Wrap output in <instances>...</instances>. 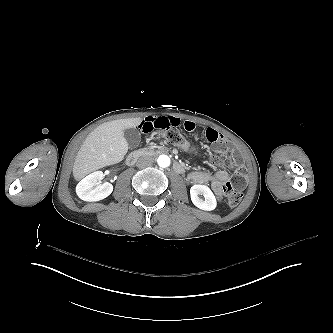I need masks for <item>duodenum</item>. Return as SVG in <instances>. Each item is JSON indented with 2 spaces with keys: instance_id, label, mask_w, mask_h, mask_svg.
I'll list each match as a JSON object with an SVG mask.
<instances>
[{
  "instance_id": "1",
  "label": "duodenum",
  "mask_w": 333,
  "mask_h": 333,
  "mask_svg": "<svg viewBox=\"0 0 333 333\" xmlns=\"http://www.w3.org/2000/svg\"><path fill=\"white\" fill-rule=\"evenodd\" d=\"M144 154H145L144 150H136V151L131 152L126 158L127 165H129V166L135 165L136 162L139 160V158L142 157ZM174 169L178 173H181V172H183V165L180 162H175Z\"/></svg>"
}]
</instances>
